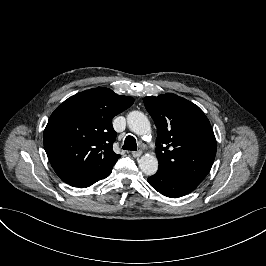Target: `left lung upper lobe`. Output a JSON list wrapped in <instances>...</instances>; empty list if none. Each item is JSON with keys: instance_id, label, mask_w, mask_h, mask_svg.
<instances>
[{"instance_id": "obj_1", "label": "left lung upper lobe", "mask_w": 266, "mask_h": 266, "mask_svg": "<svg viewBox=\"0 0 266 266\" xmlns=\"http://www.w3.org/2000/svg\"><path fill=\"white\" fill-rule=\"evenodd\" d=\"M144 105L157 127L159 169L199 184L217 149L206 115L192 102L169 93L145 97Z\"/></svg>"}]
</instances>
